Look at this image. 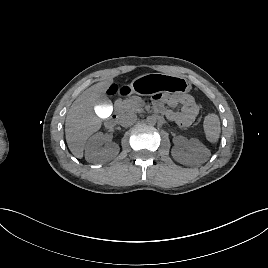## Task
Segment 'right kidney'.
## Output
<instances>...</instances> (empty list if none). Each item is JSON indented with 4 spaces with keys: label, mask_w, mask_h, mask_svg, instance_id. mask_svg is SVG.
<instances>
[{
    "label": "right kidney",
    "mask_w": 268,
    "mask_h": 268,
    "mask_svg": "<svg viewBox=\"0 0 268 268\" xmlns=\"http://www.w3.org/2000/svg\"><path fill=\"white\" fill-rule=\"evenodd\" d=\"M104 136L102 133H96L89 138L85 147V159L94 164H103L119 153V146L115 143H109L103 146Z\"/></svg>",
    "instance_id": "ca27d5eb"
}]
</instances>
